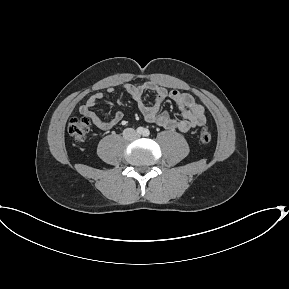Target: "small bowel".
<instances>
[{
	"mask_svg": "<svg viewBox=\"0 0 289 289\" xmlns=\"http://www.w3.org/2000/svg\"><path fill=\"white\" fill-rule=\"evenodd\" d=\"M123 89L136 102L147 122L157 124L165 129L178 130L181 133H187L190 129L206 123L205 108L186 92L168 90L153 82H146L141 85L126 84ZM113 91V88L107 89L108 93ZM145 93H151L154 96L152 103L146 101ZM104 94L102 91L95 92L88 97L79 110L96 127L101 130H109L123 120V113L117 111L110 120L99 117L92 108L104 97ZM166 99H170L177 104L182 113V119L173 118L168 111H160V107Z\"/></svg>",
	"mask_w": 289,
	"mask_h": 289,
	"instance_id": "obj_1",
	"label": "small bowel"
}]
</instances>
